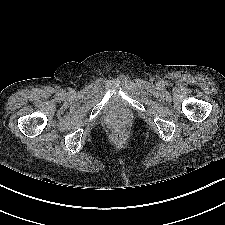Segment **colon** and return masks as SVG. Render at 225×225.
I'll return each instance as SVG.
<instances>
[{
  "instance_id": "5ec220e1",
  "label": "colon",
  "mask_w": 225,
  "mask_h": 225,
  "mask_svg": "<svg viewBox=\"0 0 225 225\" xmlns=\"http://www.w3.org/2000/svg\"><path fill=\"white\" fill-rule=\"evenodd\" d=\"M115 137H116L117 139H122V138L124 137V133L118 131V132L115 133Z\"/></svg>"
}]
</instances>
